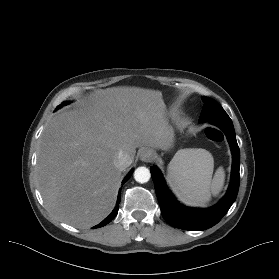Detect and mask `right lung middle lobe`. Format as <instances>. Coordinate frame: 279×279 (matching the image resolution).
Listing matches in <instances>:
<instances>
[{"mask_svg":"<svg viewBox=\"0 0 279 279\" xmlns=\"http://www.w3.org/2000/svg\"><path fill=\"white\" fill-rule=\"evenodd\" d=\"M68 102H63L62 104H60L57 108H60L61 106L67 104Z\"/></svg>","mask_w":279,"mask_h":279,"instance_id":"right-lung-middle-lobe-1","label":"right lung middle lobe"}]
</instances>
